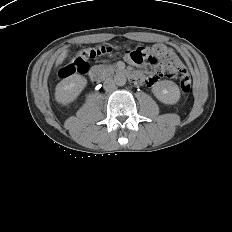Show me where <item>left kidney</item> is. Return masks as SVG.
Masks as SVG:
<instances>
[{"mask_svg": "<svg viewBox=\"0 0 232 232\" xmlns=\"http://www.w3.org/2000/svg\"><path fill=\"white\" fill-rule=\"evenodd\" d=\"M154 96L164 104H176L180 99V91L173 81L163 80L152 86Z\"/></svg>", "mask_w": 232, "mask_h": 232, "instance_id": "1", "label": "left kidney"}]
</instances>
